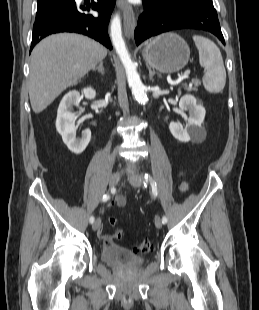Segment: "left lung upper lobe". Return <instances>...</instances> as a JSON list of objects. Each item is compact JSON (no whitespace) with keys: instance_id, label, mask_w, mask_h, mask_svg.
Returning <instances> with one entry per match:
<instances>
[{"instance_id":"left-lung-upper-lobe-1","label":"left lung upper lobe","mask_w":259,"mask_h":310,"mask_svg":"<svg viewBox=\"0 0 259 310\" xmlns=\"http://www.w3.org/2000/svg\"><path fill=\"white\" fill-rule=\"evenodd\" d=\"M161 5L164 6H176V5H182L186 3H192V2H208L212 3V0H153Z\"/></svg>"}]
</instances>
